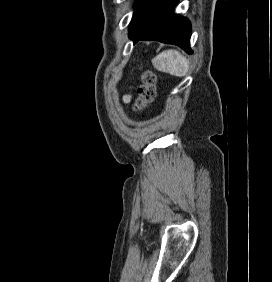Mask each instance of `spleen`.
<instances>
[{
  "label": "spleen",
  "mask_w": 272,
  "mask_h": 282,
  "mask_svg": "<svg viewBox=\"0 0 272 282\" xmlns=\"http://www.w3.org/2000/svg\"><path fill=\"white\" fill-rule=\"evenodd\" d=\"M153 66L161 72L183 77L189 69L187 59L176 50H165L152 59Z\"/></svg>",
  "instance_id": "spleen-1"
}]
</instances>
